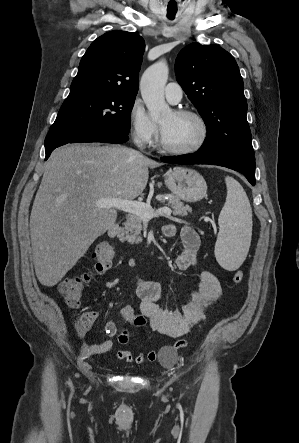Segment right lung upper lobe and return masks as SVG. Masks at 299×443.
Masks as SVG:
<instances>
[{
  "label": "right lung upper lobe",
  "mask_w": 299,
  "mask_h": 443,
  "mask_svg": "<svg viewBox=\"0 0 299 443\" xmlns=\"http://www.w3.org/2000/svg\"><path fill=\"white\" fill-rule=\"evenodd\" d=\"M144 49V40L136 33H105L85 52L71 89L96 88L136 96Z\"/></svg>",
  "instance_id": "cb5924a9"
}]
</instances>
